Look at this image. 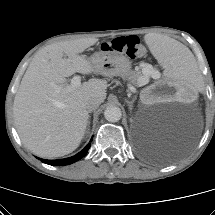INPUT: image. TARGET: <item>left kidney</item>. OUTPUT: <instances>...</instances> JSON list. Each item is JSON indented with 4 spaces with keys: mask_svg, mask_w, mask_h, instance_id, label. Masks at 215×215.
Returning <instances> with one entry per match:
<instances>
[{
    "mask_svg": "<svg viewBox=\"0 0 215 215\" xmlns=\"http://www.w3.org/2000/svg\"><path fill=\"white\" fill-rule=\"evenodd\" d=\"M196 95L195 89L187 84L167 81L144 89L141 96L144 102L150 104L160 100L172 102L182 100L189 103L195 100Z\"/></svg>",
    "mask_w": 215,
    "mask_h": 215,
    "instance_id": "1",
    "label": "left kidney"
}]
</instances>
